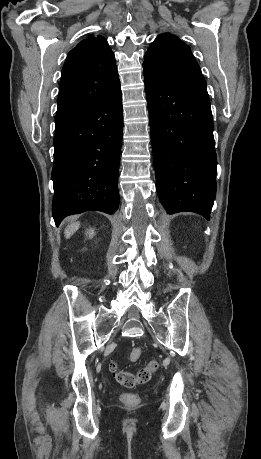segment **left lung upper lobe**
Masks as SVG:
<instances>
[{
    "label": "left lung upper lobe",
    "instance_id": "1",
    "mask_svg": "<svg viewBox=\"0 0 261 459\" xmlns=\"http://www.w3.org/2000/svg\"><path fill=\"white\" fill-rule=\"evenodd\" d=\"M143 68L176 81L206 83L190 47L172 34L155 39L145 54Z\"/></svg>",
    "mask_w": 261,
    "mask_h": 459
}]
</instances>
